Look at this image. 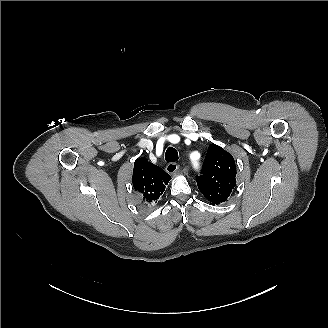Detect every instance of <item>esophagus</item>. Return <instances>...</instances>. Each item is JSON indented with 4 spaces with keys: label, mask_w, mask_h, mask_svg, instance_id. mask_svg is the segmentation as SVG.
<instances>
[{
    "label": "esophagus",
    "mask_w": 328,
    "mask_h": 328,
    "mask_svg": "<svg viewBox=\"0 0 328 328\" xmlns=\"http://www.w3.org/2000/svg\"><path fill=\"white\" fill-rule=\"evenodd\" d=\"M178 164L177 163H173V162H170L167 164L166 166V171L169 173V174H175L178 170Z\"/></svg>",
    "instance_id": "obj_1"
}]
</instances>
